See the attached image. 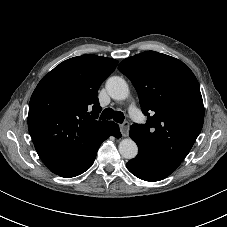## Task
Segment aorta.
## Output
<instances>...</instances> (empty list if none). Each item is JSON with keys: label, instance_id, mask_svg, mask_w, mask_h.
Returning a JSON list of instances; mask_svg holds the SVG:
<instances>
[{"label": "aorta", "instance_id": "1", "mask_svg": "<svg viewBox=\"0 0 227 227\" xmlns=\"http://www.w3.org/2000/svg\"><path fill=\"white\" fill-rule=\"evenodd\" d=\"M106 90L114 100H125L129 95L128 84L119 76H113L107 80ZM118 148L121 156L125 159H133L138 154L137 144L130 138L123 139Z\"/></svg>", "mask_w": 227, "mask_h": 227}]
</instances>
